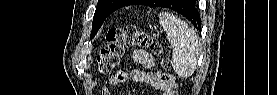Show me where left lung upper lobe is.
<instances>
[{"label":"left lung upper lobe","mask_w":277,"mask_h":95,"mask_svg":"<svg viewBox=\"0 0 277 95\" xmlns=\"http://www.w3.org/2000/svg\"><path fill=\"white\" fill-rule=\"evenodd\" d=\"M132 0H98L93 17L91 37L95 36L105 19L115 10L127 6ZM180 0L179 2H181ZM162 0H153L150 7H159ZM175 4V3H174Z\"/></svg>","instance_id":"5c2ea615"}]
</instances>
